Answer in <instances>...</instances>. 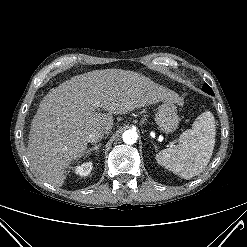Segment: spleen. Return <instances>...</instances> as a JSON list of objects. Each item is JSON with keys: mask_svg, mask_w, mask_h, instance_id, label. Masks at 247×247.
Listing matches in <instances>:
<instances>
[{"mask_svg": "<svg viewBox=\"0 0 247 247\" xmlns=\"http://www.w3.org/2000/svg\"><path fill=\"white\" fill-rule=\"evenodd\" d=\"M215 119L210 111L199 115L192 128L184 131L179 143L156 154L158 164L184 179L204 171L215 145Z\"/></svg>", "mask_w": 247, "mask_h": 247, "instance_id": "3e777b00", "label": "spleen"}]
</instances>
